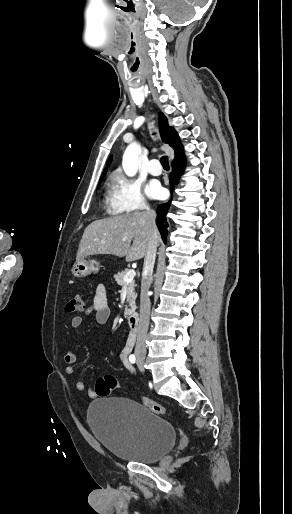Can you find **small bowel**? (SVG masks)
<instances>
[{
	"label": "small bowel",
	"instance_id": "c3829d8e",
	"mask_svg": "<svg viewBox=\"0 0 292 514\" xmlns=\"http://www.w3.org/2000/svg\"><path fill=\"white\" fill-rule=\"evenodd\" d=\"M90 314H94L95 321L99 325L105 324L111 318L112 311L108 304L107 289L104 284H98L95 289V294L92 303L85 312L86 316ZM83 321L84 316H74L70 321V325L73 329H78L82 325ZM128 352V349H124L120 355V359L124 367L126 368L127 372L130 375H134L135 369L129 362ZM63 359L64 362L67 364L65 368V373L74 379V386L76 390L80 392L84 391L86 388L85 382L82 379L76 377V372L73 367V364H75L77 361V355L75 351L72 349H66L63 354ZM88 396L91 398L95 397V391L89 389Z\"/></svg>",
	"mask_w": 292,
	"mask_h": 514
}]
</instances>
